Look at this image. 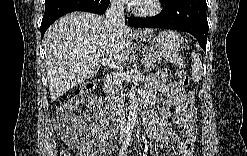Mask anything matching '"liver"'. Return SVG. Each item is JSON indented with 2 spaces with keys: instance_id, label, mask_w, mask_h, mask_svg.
I'll list each match as a JSON object with an SVG mask.
<instances>
[{
  "instance_id": "liver-1",
  "label": "liver",
  "mask_w": 247,
  "mask_h": 156,
  "mask_svg": "<svg viewBox=\"0 0 247 156\" xmlns=\"http://www.w3.org/2000/svg\"><path fill=\"white\" fill-rule=\"evenodd\" d=\"M153 31L146 28L144 33ZM131 35L129 27L110 28L103 16L82 11L54 22L43 38L51 101L96 75L101 65L114 68L124 62Z\"/></svg>"
}]
</instances>
